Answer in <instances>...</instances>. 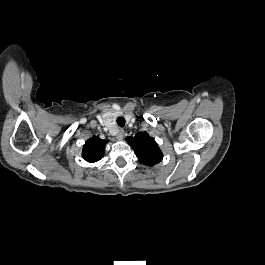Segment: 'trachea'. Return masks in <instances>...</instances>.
Wrapping results in <instances>:
<instances>
[{
  "instance_id": "trachea-1",
  "label": "trachea",
  "mask_w": 265,
  "mask_h": 265,
  "mask_svg": "<svg viewBox=\"0 0 265 265\" xmlns=\"http://www.w3.org/2000/svg\"><path fill=\"white\" fill-rule=\"evenodd\" d=\"M116 121L120 127H123L125 125V119L123 117H118Z\"/></svg>"
}]
</instances>
